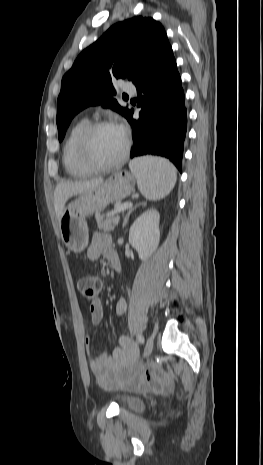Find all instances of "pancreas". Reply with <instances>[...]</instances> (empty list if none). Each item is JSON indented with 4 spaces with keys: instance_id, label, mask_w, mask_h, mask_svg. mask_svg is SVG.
Instances as JSON below:
<instances>
[{
    "instance_id": "pancreas-1",
    "label": "pancreas",
    "mask_w": 263,
    "mask_h": 465,
    "mask_svg": "<svg viewBox=\"0 0 263 465\" xmlns=\"http://www.w3.org/2000/svg\"><path fill=\"white\" fill-rule=\"evenodd\" d=\"M97 226L100 230H104L105 232L113 231L115 226L119 222V216H109L105 218L104 216L96 213L95 215Z\"/></svg>"
}]
</instances>
